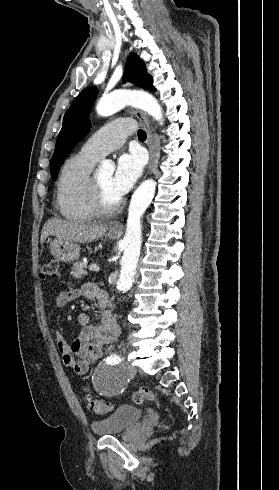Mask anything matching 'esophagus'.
Segmentation results:
<instances>
[{
  "label": "esophagus",
  "mask_w": 279,
  "mask_h": 490,
  "mask_svg": "<svg viewBox=\"0 0 279 490\" xmlns=\"http://www.w3.org/2000/svg\"><path fill=\"white\" fill-rule=\"evenodd\" d=\"M133 113L139 119L140 123L144 127L145 132L147 133L146 145L149 152V162L147 165V170H150L151 168H156L157 167L156 148L154 144V137H153L150 122L147 119L145 113L142 112L141 110H134ZM110 228L114 230H118L122 228V225L120 222H112L110 224Z\"/></svg>",
  "instance_id": "34e87169"
}]
</instances>
